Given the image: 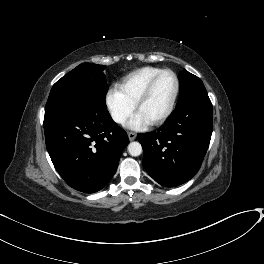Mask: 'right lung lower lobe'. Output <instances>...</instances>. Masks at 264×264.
I'll list each match as a JSON object with an SVG mask.
<instances>
[{"instance_id": "right-lung-lower-lobe-1", "label": "right lung lower lobe", "mask_w": 264, "mask_h": 264, "mask_svg": "<svg viewBox=\"0 0 264 264\" xmlns=\"http://www.w3.org/2000/svg\"><path fill=\"white\" fill-rule=\"evenodd\" d=\"M44 132L57 172L70 187L85 193L97 192L110 181L129 143L106 104L93 102L45 114Z\"/></svg>"}]
</instances>
